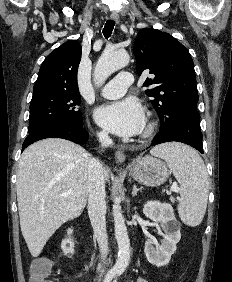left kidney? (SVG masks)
I'll return each mask as SVG.
<instances>
[{
    "label": "left kidney",
    "mask_w": 232,
    "mask_h": 282,
    "mask_svg": "<svg viewBox=\"0 0 232 282\" xmlns=\"http://www.w3.org/2000/svg\"><path fill=\"white\" fill-rule=\"evenodd\" d=\"M143 213L157 224V229L161 228L164 231L161 245H157L156 248L153 246L155 244L153 240L146 241L144 252L147 260L157 267L167 265L181 239L180 225L173 208L168 203L148 201L143 207Z\"/></svg>",
    "instance_id": "1"
}]
</instances>
